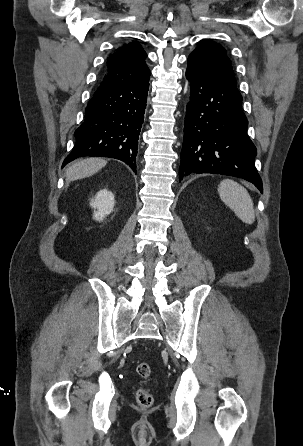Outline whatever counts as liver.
Returning <instances> with one entry per match:
<instances>
[{
  "label": "liver",
  "mask_w": 303,
  "mask_h": 446,
  "mask_svg": "<svg viewBox=\"0 0 303 446\" xmlns=\"http://www.w3.org/2000/svg\"><path fill=\"white\" fill-rule=\"evenodd\" d=\"M107 164L105 159L91 157L80 160L70 165L66 170V187L71 181L89 177L97 173Z\"/></svg>",
  "instance_id": "obj_1"
}]
</instances>
